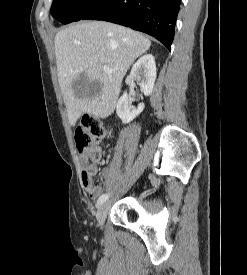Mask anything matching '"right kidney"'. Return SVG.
Wrapping results in <instances>:
<instances>
[{"instance_id": "ca27d5eb", "label": "right kidney", "mask_w": 247, "mask_h": 275, "mask_svg": "<svg viewBox=\"0 0 247 275\" xmlns=\"http://www.w3.org/2000/svg\"><path fill=\"white\" fill-rule=\"evenodd\" d=\"M130 75L139 82V86L145 96L151 95L156 79V64L152 54L142 56L132 67ZM144 103L135 108L127 92L117 102L116 113L124 124L135 119L144 109Z\"/></svg>"}]
</instances>
